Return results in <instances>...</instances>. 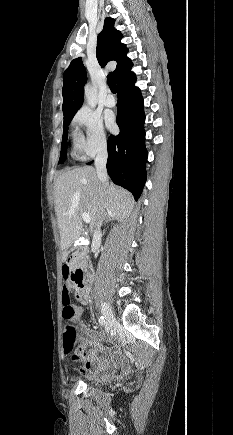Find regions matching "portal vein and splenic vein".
Returning <instances> with one entry per match:
<instances>
[{
  "mask_svg": "<svg viewBox=\"0 0 233 435\" xmlns=\"http://www.w3.org/2000/svg\"><path fill=\"white\" fill-rule=\"evenodd\" d=\"M82 219H83V221H84L85 223H87V224L91 222L90 215H89L88 213H86V212H84V213L82 214Z\"/></svg>",
  "mask_w": 233,
  "mask_h": 435,
  "instance_id": "portal-vein-and-splenic-vein-1",
  "label": "portal vein and splenic vein"
}]
</instances>
